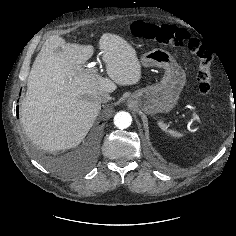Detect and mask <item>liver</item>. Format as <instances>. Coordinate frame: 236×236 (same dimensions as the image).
<instances>
[{
	"label": "liver",
	"mask_w": 236,
	"mask_h": 236,
	"mask_svg": "<svg viewBox=\"0 0 236 236\" xmlns=\"http://www.w3.org/2000/svg\"><path fill=\"white\" fill-rule=\"evenodd\" d=\"M99 48L106 78L82 67L93 55L91 45L69 43L58 34L43 44L20 107L27 136L42 149L76 147L100 113L99 96L112 93L117 85H134L141 80V63L127 40L104 33Z\"/></svg>",
	"instance_id": "obj_1"
}]
</instances>
